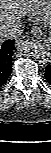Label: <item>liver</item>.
<instances>
[{
	"label": "liver",
	"mask_w": 51,
	"mask_h": 153,
	"mask_svg": "<svg viewBox=\"0 0 51 153\" xmlns=\"http://www.w3.org/2000/svg\"><path fill=\"white\" fill-rule=\"evenodd\" d=\"M38 4L33 5L27 0H0V34L2 30L19 23L21 17L26 15L44 14L45 22L50 25V4L43 12L39 11Z\"/></svg>",
	"instance_id": "6515ba94"
}]
</instances>
